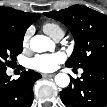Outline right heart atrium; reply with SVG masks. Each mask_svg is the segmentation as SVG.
Returning <instances> with one entry per match:
<instances>
[{
    "label": "right heart atrium",
    "mask_w": 107,
    "mask_h": 107,
    "mask_svg": "<svg viewBox=\"0 0 107 107\" xmlns=\"http://www.w3.org/2000/svg\"><path fill=\"white\" fill-rule=\"evenodd\" d=\"M31 33H32V30L31 29H28L25 34H24V37H23V45L24 46H27L28 43H29V40H30V37H31Z\"/></svg>",
    "instance_id": "d8ad5b80"
}]
</instances>
